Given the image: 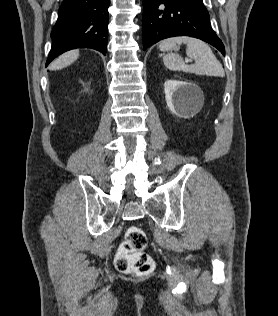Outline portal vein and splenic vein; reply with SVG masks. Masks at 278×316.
I'll return each mask as SVG.
<instances>
[{"mask_svg": "<svg viewBox=\"0 0 278 316\" xmlns=\"http://www.w3.org/2000/svg\"><path fill=\"white\" fill-rule=\"evenodd\" d=\"M186 62H187V63H189V62H192V60H190V59H186Z\"/></svg>", "mask_w": 278, "mask_h": 316, "instance_id": "obj_1", "label": "portal vein and splenic vein"}]
</instances>
